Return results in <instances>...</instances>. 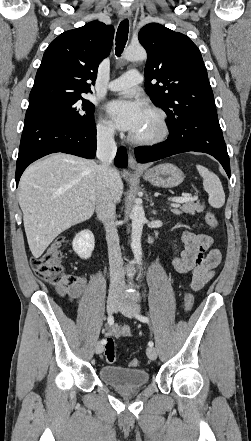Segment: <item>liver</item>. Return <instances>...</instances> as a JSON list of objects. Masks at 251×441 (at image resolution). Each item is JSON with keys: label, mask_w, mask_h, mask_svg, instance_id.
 <instances>
[{"label": "liver", "mask_w": 251, "mask_h": 441, "mask_svg": "<svg viewBox=\"0 0 251 441\" xmlns=\"http://www.w3.org/2000/svg\"><path fill=\"white\" fill-rule=\"evenodd\" d=\"M97 169L95 161L56 153L30 165L19 187L28 245L39 258L63 231L92 217L96 204ZM113 192L120 200L123 183L117 169Z\"/></svg>", "instance_id": "1"}]
</instances>
